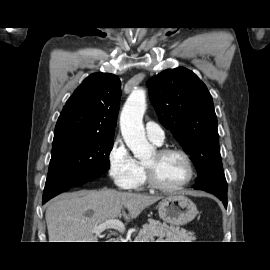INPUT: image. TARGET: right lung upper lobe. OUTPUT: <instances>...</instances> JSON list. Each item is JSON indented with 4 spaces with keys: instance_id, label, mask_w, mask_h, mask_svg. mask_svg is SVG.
<instances>
[{
    "instance_id": "obj_1",
    "label": "right lung upper lobe",
    "mask_w": 270,
    "mask_h": 270,
    "mask_svg": "<svg viewBox=\"0 0 270 270\" xmlns=\"http://www.w3.org/2000/svg\"><path fill=\"white\" fill-rule=\"evenodd\" d=\"M121 82L110 73L88 76L64 106L54 134L75 132L114 136Z\"/></svg>"
}]
</instances>
